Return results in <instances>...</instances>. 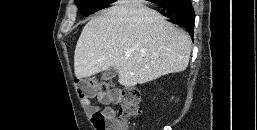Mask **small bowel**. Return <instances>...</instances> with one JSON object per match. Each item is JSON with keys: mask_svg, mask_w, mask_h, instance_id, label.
I'll list each match as a JSON object with an SVG mask.
<instances>
[{"mask_svg": "<svg viewBox=\"0 0 257 130\" xmlns=\"http://www.w3.org/2000/svg\"><path fill=\"white\" fill-rule=\"evenodd\" d=\"M93 97H96V99L103 104H109V103H111L115 100V98L113 96L102 94V93H96L92 97L81 98V103L85 107L86 111L90 114L98 111V108L91 103V98H93ZM103 112L104 113H111L113 111L110 107H107L103 110Z\"/></svg>", "mask_w": 257, "mask_h": 130, "instance_id": "1", "label": "small bowel"}]
</instances>
